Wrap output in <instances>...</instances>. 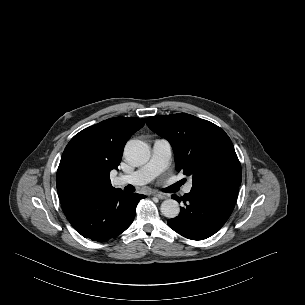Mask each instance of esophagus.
Instances as JSON below:
<instances>
[{"instance_id": "1", "label": "esophagus", "mask_w": 305, "mask_h": 305, "mask_svg": "<svg viewBox=\"0 0 305 305\" xmlns=\"http://www.w3.org/2000/svg\"><path fill=\"white\" fill-rule=\"evenodd\" d=\"M153 195L161 200L168 198V196L166 194L159 193V192H155V193H153Z\"/></svg>"}]
</instances>
